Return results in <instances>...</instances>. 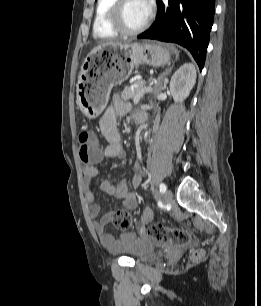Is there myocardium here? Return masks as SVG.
Returning <instances> with one entry per match:
<instances>
[{
	"mask_svg": "<svg viewBox=\"0 0 261 306\" xmlns=\"http://www.w3.org/2000/svg\"><path fill=\"white\" fill-rule=\"evenodd\" d=\"M127 0H115L109 11V22L112 27L122 35H137L149 26L152 19V10L148 11L146 20L137 28H130L126 25L123 18V9Z\"/></svg>",
	"mask_w": 261,
	"mask_h": 306,
	"instance_id": "1",
	"label": "myocardium"
}]
</instances>
